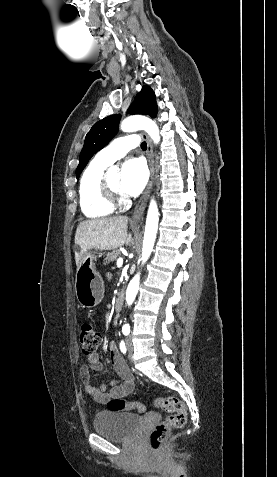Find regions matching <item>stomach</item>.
<instances>
[{"label": "stomach", "mask_w": 277, "mask_h": 477, "mask_svg": "<svg viewBox=\"0 0 277 477\" xmlns=\"http://www.w3.org/2000/svg\"><path fill=\"white\" fill-rule=\"evenodd\" d=\"M95 253L89 250L77 267L75 293L82 307H95L104 297V283L95 270Z\"/></svg>", "instance_id": "0dacf381"}]
</instances>
